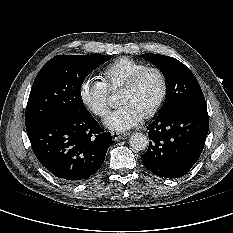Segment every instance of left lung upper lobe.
I'll return each instance as SVG.
<instances>
[{
  "label": "left lung upper lobe",
  "mask_w": 233,
  "mask_h": 233,
  "mask_svg": "<svg viewBox=\"0 0 233 233\" xmlns=\"http://www.w3.org/2000/svg\"><path fill=\"white\" fill-rule=\"evenodd\" d=\"M143 58L154 64L166 78L167 97L158 115L181 107H206L198 81L182 62L169 56L152 53L143 54Z\"/></svg>",
  "instance_id": "obj_1"
}]
</instances>
